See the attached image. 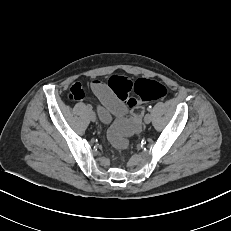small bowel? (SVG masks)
Listing matches in <instances>:
<instances>
[{
	"label": "small bowel",
	"instance_id": "small-bowel-1",
	"mask_svg": "<svg viewBox=\"0 0 231 231\" xmlns=\"http://www.w3.org/2000/svg\"><path fill=\"white\" fill-rule=\"evenodd\" d=\"M91 88L97 96L100 105L98 112L104 122H109L112 116H124L128 110L125 104L110 90V88L98 80L91 82ZM70 97L74 100L84 98L81 84L76 82L70 89Z\"/></svg>",
	"mask_w": 231,
	"mask_h": 231
}]
</instances>
